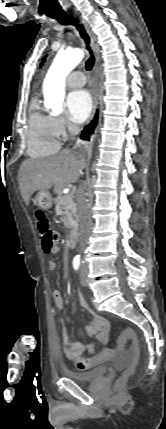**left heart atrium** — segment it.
<instances>
[{
  "mask_svg": "<svg viewBox=\"0 0 166 429\" xmlns=\"http://www.w3.org/2000/svg\"><path fill=\"white\" fill-rule=\"evenodd\" d=\"M68 118L74 123H83L92 110V98L85 89H78L68 94L66 99Z\"/></svg>",
  "mask_w": 166,
  "mask_h": 429,
  "instance_id": "1",
  "label": "left heart atrium"
}]
</instances>
